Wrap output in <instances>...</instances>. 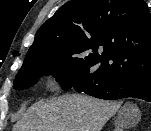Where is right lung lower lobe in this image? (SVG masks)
<instances>
[{"mask_svg":"<svg viewBox=\"0 0 151 131\" xmlns=\"http://www.w3.org/2000/svg\"><path fill=\"white\" fill-rule=\"evenodd\" d=\"M73 88L77 92L105 100L134 97L151 102V76L133 79H77Z\"/></svg>","mask_w":151,"mask_h":131,"instance_id":"98d812e1","label":"right lung lower lobe"}]
</instances>
